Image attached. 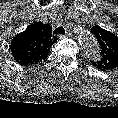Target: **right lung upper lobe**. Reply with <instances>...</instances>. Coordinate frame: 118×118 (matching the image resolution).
<instances>
[{
	"instance_id": "cb5924a9",
	"label": "right lung upper lobe",
	"mask_w": 118,
	"mask_h": 118,
	"mask_svg": "<svg viewBox=\"0 0 118 118\" xmlns=\"http://www.w3.org/2000/svg\"><path fill=\"white\" fill-rule=\"evenodd\" d=\"M57 39L52 35L50 25L36 22L12 39L10 49L14 60L19 64H37L47 58L50 47Z\"/></svg>"
}]
</instances>
